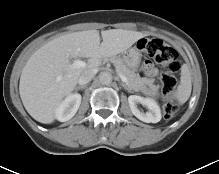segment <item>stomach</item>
I'll return each instance as SVG.
<instances>
[{"mask_svg":"<svg viewBox=\"0 0 219 174\" xmlns=\"http://www.w3.org/2000/svg\"><path fill=\"white\" fill-rule=\"evenodd\" d=\"M141 57V49L136 45L125 52L124 61L129 68L135 69L139 66Z\"/></svg>","mask_w":219,"mask_h":174,"instance_id":"obj_1","label":"stomach"}]
</instances>
